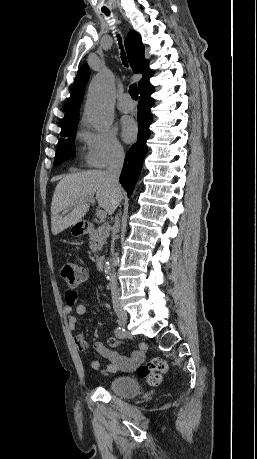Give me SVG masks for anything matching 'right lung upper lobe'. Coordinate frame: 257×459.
Segmentation results:
<instances>
[{
  "label": "right lung upper lobe",
  "mask_w": 257,
  "mask_h": 459,
  "mask_svg": "<svg viewBox=\"0 0 257 459\" xmlns=\"http://www.w3.org/2000/svg\"><path fill=\"white\" fill-rule=\"evenodd\" d=\"M125 48L133 72L142 74V79L138 82L140 89L149 82V78L153 73L152 70L148 68V60L144 57V45L137 32L130 31L128 33V37L125 39ZM89 75V67L87 64H84L78 71L74 80L71 95L66 104V114L61 124V132L77 126L79 122V106L83 99L85 85Z\"/></svg>",
  "instance_id": "right-lung-upper-lobe-1"
}]
</instances>
